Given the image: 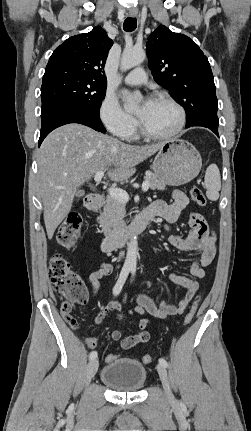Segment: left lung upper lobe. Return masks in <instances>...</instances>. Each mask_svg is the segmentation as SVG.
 Instances as JSON below:
<instances>
[{
    "label": "left lung upper lobe",
    "mask_w": 251,
    "mask_h": 431,
    "mask_svg": "<svg viewBox=\"0 0 251 431\" xmlns=\"http://www.w3.org/2000/svg\"><path fill=\"white\" fill-rule=\"evenodd\" d=\"M146 52L154 80L184 107L186 126L219 123L211 67L192 39L161 25L148 37Z\"/></svg>",
    "instance_id": "1"
}]
</instances>
